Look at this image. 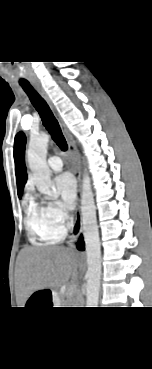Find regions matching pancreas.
I'll return each instance as SVG.
<instances>
[{
    "instance_id": "cf45deb5",
    "label": "pancreas",
    "mask_w": 152,
    "mask_h": 369,
    "mask_svg": "<svg viewBox=\"0 0 152 369\" xmlns=\"http://www.w3.org/2000/svg\"><path fill=\"white\" fill-rule=\"evenodd\" d=\"M69 297L73 298L71 294H69ZM71 302H74V303L78 304L79 303V300L78 299H76V300L72 299Z\"/></svg>"
}]
</instances>
